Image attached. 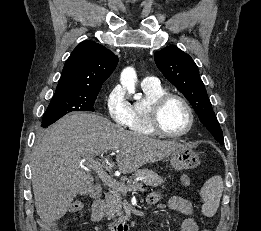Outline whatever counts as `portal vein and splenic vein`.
I'll use <instances>...</instances> for the list:
<instances>
[{
	"mask_svg": "<svg viewBox=\"0 0 261 231\" xmlns=\"http://www.w3.org/2000/svg\"><path fill=\"white\" fill-rule=\"evenodd\" d=\"M87 166L89 168H92L93 170H95L97 172L99 178L102 180V182L105 185H107L109 188L116 189V190H119V191H122V192L137 191V190L142 189V186H143L142 183L134 184V186H132L130 188L122 186L120 184V182H118L117 180H115L114 178L109 176L103 170L100 159H94V158L88 159Z\"/></svg>",
	"mask_w": 261,
	"mask_h": 231,
	"instance_id": "obj_1",
	"label": "portal vein and splenic vein"
}]
</instances>
